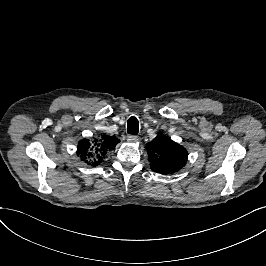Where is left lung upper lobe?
<instances>
[{
    "instance_id": "5c2ea615",
    "label": "left lung upper lobe",
    "mask_w": 266,
    "mask_h": 266,
    "mask_svg": "<svg viewBox=\"0 0 266 266\" xmlns=\"http://www.w3.org/2000/svg\"><path fill=\"white\" fill-rule=\"evenodd\" d=\"M150 168L158 173L171 174L180 170L187 161L186 149L163 134L146 145Z\"/></svg>"
}]
</instances>
